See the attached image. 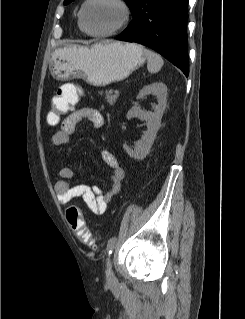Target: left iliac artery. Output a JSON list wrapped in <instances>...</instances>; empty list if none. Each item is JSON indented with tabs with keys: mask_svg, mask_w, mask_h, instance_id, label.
I'll use <instances>...</instances> for the list:
<instances>
[{
	"mask_svg": "<svg viewBox=\"0 0 245 319\" xmlns=\"http://www.w3.org/2000/svg\"><path fill=\"white\" fill-rule=\"evenodd\" d=\"M116 237H112L108 240V243H107V253L108 255L112 254L113 252V249L115 247V244H116Z\"/></svg>",
	"mask_w": 245,
	"mask_h": 319,
	"instance_id": "1",
	"label": "left iliac artery"
}]
</instances>
